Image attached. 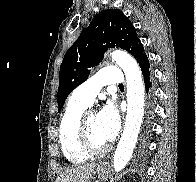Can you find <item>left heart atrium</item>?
<instances>
[{
	"mask_svg": "<svg viewBox=\"0 0 196 182\" xmlns=\"http://www.w3.org/2000/svg\"><path fill=\"white\" fill-rule=\"evenodd\" d=\"M97 126L107 142L113 140L117 135L120 127V116L112 102H108L97 114Z\"/></svg>",
	"mask_w": 196,
	"mask_h": 182,
	"instance_id": "obj_1",
	"label": "left heart atrium"
}]
</instances>
